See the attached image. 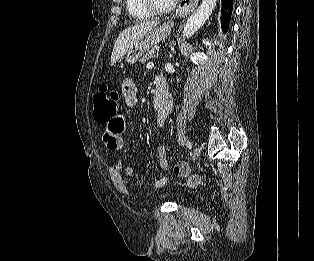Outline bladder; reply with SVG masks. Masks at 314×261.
I'll list each match as a JSON object with an SVG mask.
<instances>
[{
	"label": "bladder",
	"instance_id": "obj_1",
	"mask_svg": "<svg viewBox=\"0 0 314 261\" xmlns=\"http://www.w3.org/2000/svg\"><path fill=\"white\" fill-rule=\"evenodd\" d=\"M174 192L173 191H170V190H166L162 193V197H168V196H171L173 195Z\"/></svg>",
	"mask_w": 314,
	"mask_h": 261
}]
</instances>
